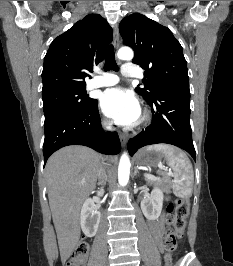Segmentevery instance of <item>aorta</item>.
Returning a JSON list of instances; mask_svg holds the SVG:
<instances>
[{
	"mask_svg": "<svg viewBox=\"0 0 233 266\" xmlns=\"http://www.w3.org/2000/svg\"><path fill=\"white\" fill-rule=\"evenodd\" d=\"M117 56L121 60H132L134 53L131 48L124 47L121 48ZM130 159L127 153H123L120 162H119V167H118V182L121 186L127 185L129 181V175H130Z\"/></svg>",
	"mask_w": 233,
	"mask_h": 266,
	"instance_id": "aorta-1",
	"label": "aorta"
}]
</instances>
